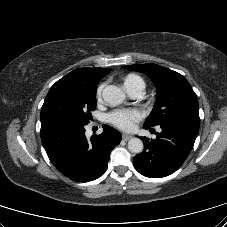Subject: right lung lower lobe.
<instances>
[{
  "instance_id": "1",
  "label": "right lung lower lobe",
  "mask_w": 227,
  "mask_h": 227,
  "mask_svg": "<svg viewBox=\"0 0 227 227\" xmlns=\"http://www.w3.org/2000/svg\"><path fill=\"white\" fill-rule=\"evenodd\" d=\"M103 132L88 140L84 125L54 121L41 125V139L52 164L66 177L88 182L107 169L110 152L121 141V134L103 125Z\"/></svg>"
}]
</instances>
